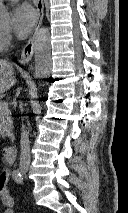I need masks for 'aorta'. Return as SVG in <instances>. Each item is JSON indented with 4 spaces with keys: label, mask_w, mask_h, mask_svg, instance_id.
Returning a JSON list of instances; mask_svg holds the SVG:
<instances>
[{
    "label": "aorta",
    "mask_w": 128,
    "mask_h": 213,
    "mask_svg": "<svg viewBox=\"0 0 128 213\" xmlns=\"http://www.w3.org/2000/svg\"><path fill=\"white\" fill-rule=\"evenodd\" d=\"M10 14L0 1V27L8 25ZM35 77L40 79L49 78L52 71L51 60V37L50 30L42 27L35 35Z\"/></svg>",
    "instance_id": "762f6f07"
}]
</instances>
